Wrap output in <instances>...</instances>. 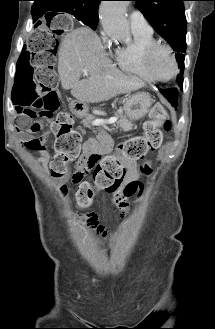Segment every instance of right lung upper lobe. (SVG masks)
Listing matches in <instances>:
<instances>
[{
	"instance_id": "obj_1",
	"label": "right lung upper lobe",
	"mask_w": 215,
	"mask_h": 329,
	"mask_svg": "<svg viewBox=\"0 0 215 329\" xmlns=\"http://www.w3.org/2000/svg\"><path fill=\"white\" fill-rule=\"evenodd\" d=\"M99 1L101 0H34L32 7L36 6V9L32 11L33 20L37 21L43 15L64 13V6H75V9L83 10L87 19L98 21Z\"/></svg>"
}]
</instances>
